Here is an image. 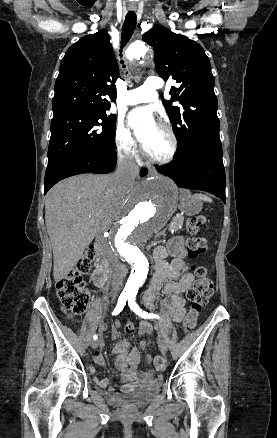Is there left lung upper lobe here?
<instances>
[{
	"instance_id": "obj_1",
	"label": "left lung upper lobe",
	"mask_w": 277,
	"mask_h": 438,
	"mask_svg": "<svg viewBox=\"0 0 277 438\" xmlns=\"http://www.w3.org/2000/svg\"><path fill=\"white\" fill-rule=\"evenodd\" d=\"M142 39L154 49L159 76L164 80L172 78L179 84L178 88H171V98L163 103L178 136V158L187 157L212 134L219 136L217 98L209 59L198 43L162 26L150 29ZM175 101L180 106H173Z\"/></svg>"
}]
</instances>
